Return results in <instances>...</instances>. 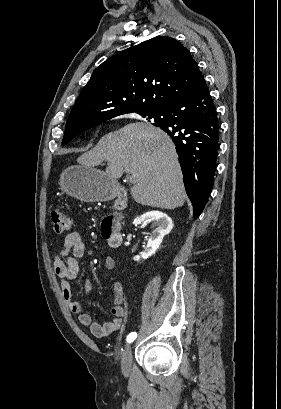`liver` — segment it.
<instances>
[{"label":"liver","mask_w":281,"mask_h":409,"mask_svg":"<svg viewBox=\"0 0 281 409\" xmlns=\"http://www.w3.org/2000/svg\"><path fill=\"white\" fill-rule=\"evenodd\" d=\"M103 160L108 162L105 172L111 180L123 172L131 174V196L140 205L183 207L186 192L181 166L170 136L158 126L130 122L102 136L92 150L77 158L84 166H98Z\"/></svg>","instance_id":"liver-1"}]
</instances>
